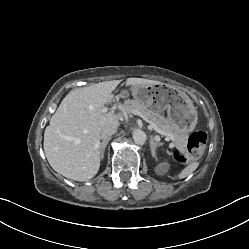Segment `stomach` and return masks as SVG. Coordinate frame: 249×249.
Here are the masks:
<instances>
[{
  "label": "stomach",
  "instance_id": "stomach-1",
  "mask_svg": "<svg viewBox=\"0 0 249 249\" xmlns=\"http://www.w3.org/2000/svg\"><path fill=\"white\" fill-rule=\"evenodd\" d=\"M133 97L157 112L167 110L169 122L184 133L191 132L198 120L197 110L189 96L181 90L167 84L135 85ZM123 92L122 88L118 89Z\"/></svg>",
  "mask_w": 249,
  "mask_h": 249
}]
</instances>
